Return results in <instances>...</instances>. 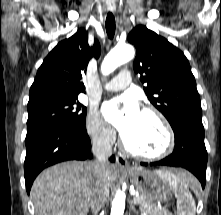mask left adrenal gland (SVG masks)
Returning a JSON list of instances; mask_svg holds the SVG:
<instances>
[{
  "label": "left adrenal gland",
  "mask_w": 221,
  "mask_h": 215,
  "mask_svg": "<svg viewBox=\"0 0 221 215\" xmlns=\"http://www.w3.org/2000/svg\"><path fill=\"white\" fill-rule=\"evenodd\" d=\"M130 211L136 212V209L133 203L130 204Z\"/></svg>",
  "instance_id": "a2214340"
}]
</instances>
